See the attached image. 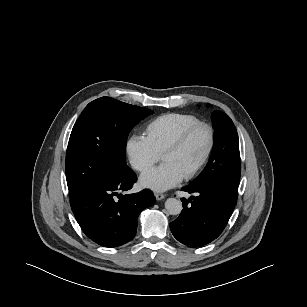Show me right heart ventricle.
Returning a JSON list of instances; mask_svg holds the SVG:
<instances>
[{
  "label": "right heart ventricle",
  "instance_id": "e07e8e85",
  "mask_svg": "<svg viewBox=\"0 0 307 307\" xmlns=\"http://www.w3.org/2000/svg\"><path fill=\"white\" fill-rule=\"evenodd\" d=\"M198 122H200V119L191 114H164L147 125V138L154 149L161 155L184 129Z\"/></svg>",
  "mask_w": 307,
  "mask_h": 307
}]
</instances>
